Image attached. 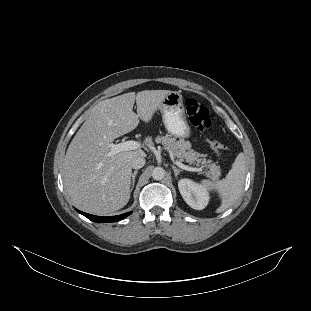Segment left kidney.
Masks as SVG:
<instances>
[{"label":"left kidney","mask_w":311,"mask_h":311,"mask_svg":"<svg viewBox=\"0 0 311 311\" xmlns=\"http://www.w3.org/2000/svg\"><path fill=\"white\" fill-rule=\"evenodd\" d=\"M184 201L193 209L202 210L208 202L206 191L190 180L182 179L178 183Z\"/></svg>","instance_id":"left-kidney-1"}]
</instances>
